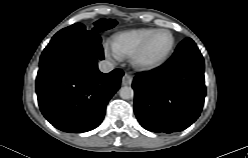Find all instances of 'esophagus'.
<instances>
[{
    "mask_svg": "<svg viewBox=\"0 0 248 158\" xmlns=\"http://www.w3.org/2000/svg\"><path fill=\"white\" fill-rule=\"evenodd\" d=\"M132 80H133V76L129 73H125L124 76L122 77V84L131 85Z\"/></svg>",
    "mask_w": 248,
    "mask_h": 158,
    "instance_id": "esophagus-1",
    "label": "esophagus"
}]
</instances>
